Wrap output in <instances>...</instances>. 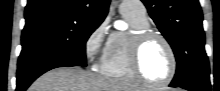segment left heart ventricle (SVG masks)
I'll use <instances>...</instances> for the list:
<instances>
[{
  "mask_svg": "<svg viewBox=\"0 0 220 91\" xmlns=\"http://www.w3.org/2000/svg\"><path fill=\"white\" fill-rule=\"evenodd\" d=\"M140 63L144 76L154 82L163 81L170 72L169 53L158 39L150 40L145 44L141 52Z\"/></svg>",
  "mask_w": 220,
  "mask_h": 91,
  "instance_id": "left-heart-ventricle-1",
  "label": "left heart ventricle"
}]
</instances>
